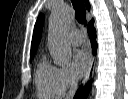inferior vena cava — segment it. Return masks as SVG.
Listing matches in <instances>:
<instances>
[{
  "label": "inferior vena cava",
  "mask_w": 128,
  "mask_h": 99,
  "mask_svg": "<svg viewBox=\"0 0 128 99\" xmlns=\"http://www.w3.org/2000/svg\"><path fill=\"white\" fill-rule=\"evenodd\" d=\"M78 87V81L76 79L71 80L70 89L65 97V99H73L75 92Z\"/></svg>",
  "instance_id": "inferior-vena-cava-1"
}]
</instances>
